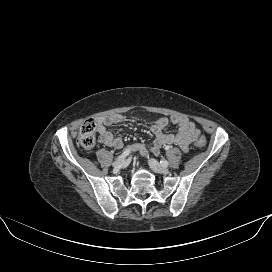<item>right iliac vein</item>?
<instances>
[{
  "instance_id": "1",
  "label": "right iliac vein",
  "mask_w": 272,
  "mask_h": 272,
  "mask_svg": "<svg viewBox=\"0 0 272 272\" xmlns=\"http://www.w3.org/2000/svg\"><path fill=\"white\" fill-rule=\"evenodd\" d=\"M124 162H125L124 158L117 159L116 161H114L113 167L115 169H120L123 166Z\"/></svg>"
}]
</instances>
